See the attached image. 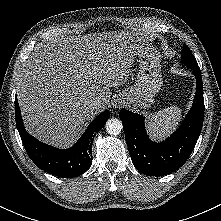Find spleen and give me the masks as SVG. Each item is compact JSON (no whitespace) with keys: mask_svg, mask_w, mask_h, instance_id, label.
Segmentation results:
<instances>
[{"mask_svg":"<svg viewBox=\"0 0 221 221\" xmlns=\"http://www.w3.org/2000/svg\"><path fill=\"white\" fill-rule=\"evenodd\" d=\"M181 115L182 110L176 106L155 112L148 118V130L154 138L164 137L175 128Z\"/></svg>","mask_w":221,"mask_h":221,"instance_id":"3e777b00","label":"spleen"}]
</instances>
